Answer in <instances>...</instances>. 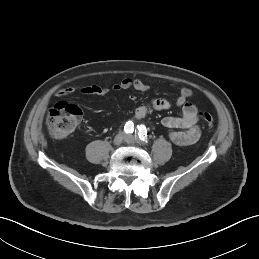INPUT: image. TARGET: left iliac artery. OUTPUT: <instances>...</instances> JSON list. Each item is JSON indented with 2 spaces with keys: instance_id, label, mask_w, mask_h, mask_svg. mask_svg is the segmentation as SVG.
<instances>
[{
  "instance_id": "left-iliac-artery-1",
  "label": "left iliac artery",
  "mask_w": 259,
  "mask_h": 259,
  "mask_svg": "<svg viewBox=\"0 0 259 259\" xmlns=\"http://www.w3.org/2000/svg\"><path fill=\"white\" fill-rule=\"evenodd\" d=\"M137 141L142 144H147V129L144 125L137 126V135L135 136Z\"/></svg>"
}]
</instances>
